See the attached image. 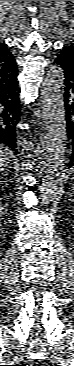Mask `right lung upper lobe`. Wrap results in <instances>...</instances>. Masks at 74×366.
<instances>
[{"mask_svg": "<svg viewBox=\"0 0 74 366\" xmlns=\"http://www.w3.org/2000/svg\"><path fill=\"white\" fill-rule=\"evenodd\" d=\"M17 65L5 43H0V86L9 85L17 79Z\"/></svg>", "mask_w": 74, "mask_h": 366, "instance_id": "obj_1", "label": "right lung upper lobe"}]
</instances>
